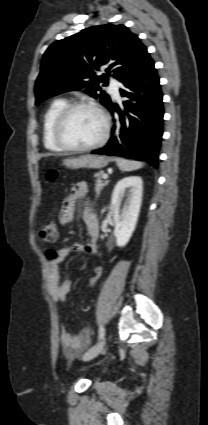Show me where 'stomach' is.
Listing matches in <instances>:
<instances>
[{
	"label": "stomach",
	"instance_id": "obj_1",
	"mask_svg": "<svg viewBox=\"0 0 208 425\" xmlns=\"http://www.w3.org/2000/svg\"><path fill=\"white\" fill-rule=\"evenodd\" d=\"M110 159L98 155H81L75 158H68L63 161V164L70 169H101L109 163Z\"/></svg>",
	"mask_w": 208,
	"mask_h": 425
}]
</instances>
